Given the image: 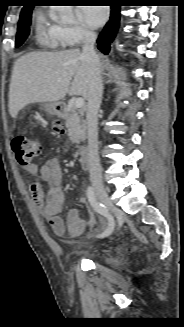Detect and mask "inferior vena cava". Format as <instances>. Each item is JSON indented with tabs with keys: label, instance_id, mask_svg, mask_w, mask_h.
<instances>
[{
	"label": "inferior vena cava",
	"instance_id": "obj_1",
	"mask_svg": "<svg viewBox=\"0 0 184 327\" xmlns=\"http://www.w3.org/2000/svg\"><path fill=\"white\" fill-rule=\"evenodd\" d=\"M97 35L93 31L84 32L82 56L85 58L90 69V89L86 110V121L88 128V166L90 180L101 182L102 168L98 155V111L103 94V83L101 77V63L95 52L94 44Z\"/></svg>",
	"mask_w": 184,
	"mask_h": 327
}]
</instances>
